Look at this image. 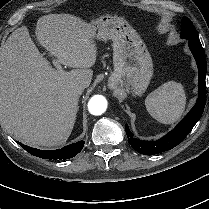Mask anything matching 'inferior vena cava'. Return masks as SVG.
<instances>
[{
	"instance_id": "1",
	"label": "inferior vena cava",
	"mask_w": 209,
	"mask_h": 209,
	"mask_svg": "<svg viewBox=\"0 0 209 209\" xmlns=\"http://www.w3.org/2000/svg\"><path fill=\"white\" fill-rule=\"evenodd\" d=\"M86 86L83 83H79L75 86V90L78 94H81Z\"/></svg>"
}]
</instances>
